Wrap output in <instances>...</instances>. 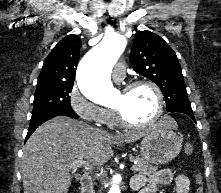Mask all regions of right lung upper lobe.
I'll return each mask as SVG.
<instances>
[{"label":"right lung upper lobe","mask_w":221,"mask_h":193,"mask_svg":"<svg viewBox=\"0 0 221 193\" xmlns=\"http://www.w3.org/2000/svg\"><path fill=\"white\" fill-rule=\"evenodd\" d=\"M81 40L77 35L63 38L44 61L37 85L73 84Z\"/></svg>","instance_id":"cb5924a9"}]
</instances>
